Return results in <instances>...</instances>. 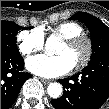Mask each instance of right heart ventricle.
I'll use <instances>...</instances> for the list:
<instances>
[{
    "instance_id": "1",
    "label": "right heart ventricle",
    "mask_w": 109,
    "mask_h": 109,
    "mask_svg": "<svg viewBox=\"0 0 109 109\" xmlns=\"http://www.w3.org/2000/svg\"><path fill=\"white\" fill-rule=\"evenodd\" d=\"M40 30L43 32L42 29ZM48 30L52 35H58L63 39L69 38L84 32L83 27L80 24L76 22H72V21L58 23L50 27Z\"/></svg>"
}]
</instances>
